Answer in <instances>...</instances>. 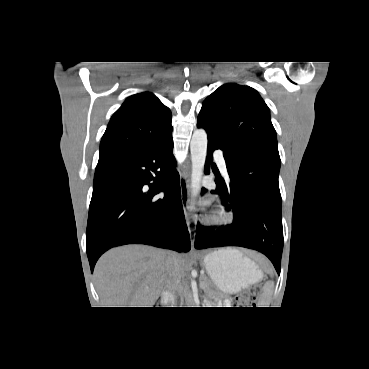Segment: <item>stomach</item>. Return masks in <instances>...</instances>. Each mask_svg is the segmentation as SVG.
Returning <instances> with one entry per match:
<instances>
[{"label":"stomach","instance_id":"1","mask_svg":"<svg viewBox=\"0 0 369 369\" xmlns=\"http://www.w3.org/2000/svg\"><path fill=\"white\" fill-rule=\"evenodd\" d=\"M203 264L213 282L223 292L238 293L262 278V272L249 258L231 248L207 254Z\"/></svg>","mask_w":369,"mask_h":369}]
</instances>
